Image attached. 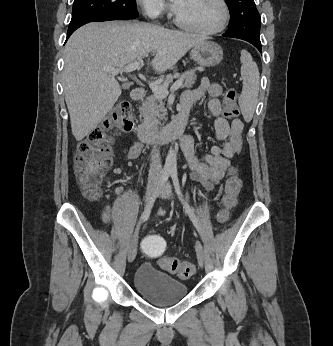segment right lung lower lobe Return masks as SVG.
<instances>
[{
  "instance_id": "obj_1",
  "label": "right lung lower lobe",
  "mask_w": 333,
  "mask_h": 346,
  "mask_svg": "<svg viewBox=\"0 0 333 346\" xmlns=\"http://www.w3.org/2000/svg\"><path fill=\"white\" fill-rule=\"evenodd\" d=\"M84 25V24H83ZM82 26V25H81ZM80 27V26H79ZM78 27V28H79ZM78 28H76V29H78ZM76 29H73V30H70V31H68L67 32V39L70 37V35L76 30ZM67 39H66V41H67Z\"/></svg>"
}]
</instances>
